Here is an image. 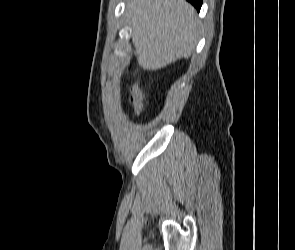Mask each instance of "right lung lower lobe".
Returning a JSON list of instances; mask_svg holds the SVG:
<instances>
[{
  "instance_id": "right-lung-lower-lobe-1",
  "label": "right lung lower lobe",
  "mask_w": 295,
  "mask_h": 250,
  "mask_svg": "<svg viewBox=\"0 0 295 250\" xmlns=\"http://www.w3.org/2000/svg\"><path fill=\"white\" fill-rule=\"evenodd\" d=\"M188 2H191L193 5H194V7L198 10V11H200V8H201V6H202V0H187Z\"/></svg>"
}]
</instances>
